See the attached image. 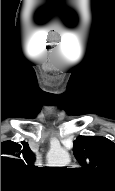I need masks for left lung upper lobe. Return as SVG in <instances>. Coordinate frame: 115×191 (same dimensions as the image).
<instances>
[{
	"label": "left lung upper lobe",
	"mask_w": 115,
	"mask_h": 191,
	"mask_svg": "<svg viewBox=\"0 0 115 191\" xmlns=\"http://www.w3.org/2000/svg\"><path fill=\"white\" fill-rule=\"evenodd\" d=\"M73 153L81 170L115 188V144L102 136H78Z\"/></svg>",
	"instance_id": "left-lung-upper-lobe-1"
}]
</instances>
